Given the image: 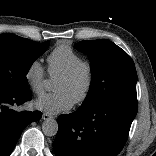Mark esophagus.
I'll return each mask as SVG.
<instances>
[{
    "label": "esophagus",
    "instance_id": "esophagus-1",
    "mask_svg": "<svg viewBox=\"0 0 156 156\" xmlns=\"http://www.w3.org/2000/svg\"><path fill=\"white\" fill-rule=\"evenodd\" d=\"M51 118H53V117L48 113H43L42 114V119L43 120H48V119H51Z\"/></svg>",
    "mask_w": 156,
    "mask_h": 156
}]
</instances>
